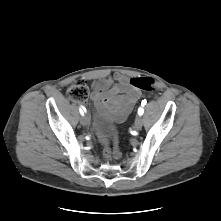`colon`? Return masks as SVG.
Masks as SVG:
<instances>
[{
    "mask_svg": "<svg viewBox=\"0 0 221 221\" xmlns=\"http://www.w3.org/2000/svg\"><path fill=\"white\" fill-rule=\"evenodd\" d=\"M130 85L135 89H139L146 92H151L154 90V81L150 77H135L130 80ZM68 97L75 102H86L89 97V89L87 84L78 80L74 82L67 91ZM103 142V156L106 160H111L112 158H120L122 152L119 148L118 135L114 136L113 146H109L106 140L102 137Z\"/></svg>",
    "mask_w": 221,
    "mask_h": 221,
    "instance_id": "5ec220e1",
    "label": "colon"
}]
</instances>
